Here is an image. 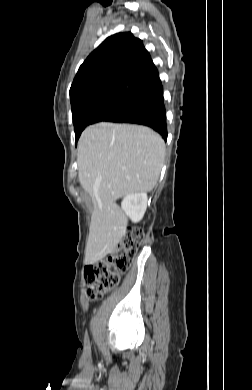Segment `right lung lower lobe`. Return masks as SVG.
Returning <instances> with one entry per match:
<instances>
[{
  "instance_id": "1",
  "label": "right lung lower lobe",
  "mask_w": 252,
  "mask_h": 390,
  "mask_svg": "<svg viewBox=\"0 0 252 390\" xmlns=\"http://www.w3.org/2000/svg\"><path fill=\"white\" fill-rule=\"evenodd\" d=\"M105 121L145 125L157 131L166 140L167 125L162 84Z\"/></svg>"
}]
</instances>
